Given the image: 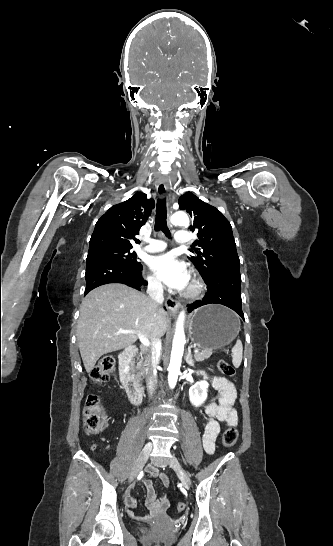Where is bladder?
<instances>
[{"mask_svg":"<svg viewBox=\"0 0 333 546\" xmlns=\"http://www.w3.org/2000/svg\"><path fill=\"white\" fill-rule=\"evenodd\" d=\"M139 530H140L141 532H146V531H147V529H146L145 527H141Z\"/></svg>","mask_w":333,"mask_h":546,"instance_id":"bladder-1","label":"bladder"}]
</instances>
